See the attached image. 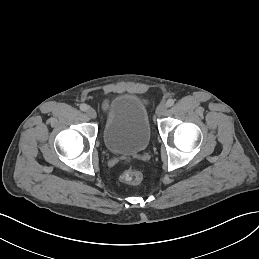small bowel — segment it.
Listing matches in <instances>:
<instances>
[{"label": "small bowel", "mask_w": 259, "mask_h": 259, "mask_svg": "<svg viewBox=\"0 0 259 259\" xmlns=\"http://www.w3.org/2000/svg\"><path fill=\"white\" fill-rule=\"evenodd\" d=\"M107 107H108V103H107V102H105V103L103 104V109H104V110H106V109H107Z\"/></svg>", "instance_id": "c3829d8e"}]
</instances>
